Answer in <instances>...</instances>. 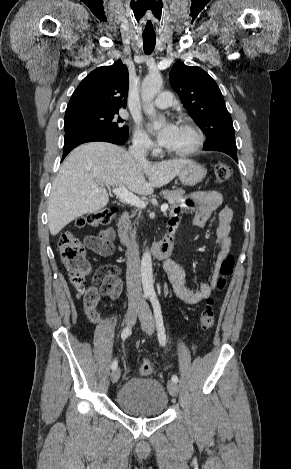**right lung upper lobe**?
<instances>
[{
  "label": "right lung upper lobe",
  "mask_w": 291,
  "mask_h": 469,
  "mask_svg": "<svg viewBox=\"0 0 291 469\" xmlns=\"http://www.w3.org/2000/svg\"><path fill=\"white\" fill-rule=\"evenodd\" d=\"M128 95V69L121 61L103 66L89 73L74 91L66 113L89 109L126 107Z\"/></svg>",
  "instance_id": "cb5924a9"
}]
</instances>
